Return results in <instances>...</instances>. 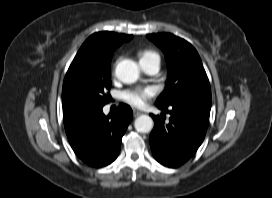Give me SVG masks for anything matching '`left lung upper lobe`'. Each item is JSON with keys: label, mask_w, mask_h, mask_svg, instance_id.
<instances>
[{"label": "left lung upper lobe", "mask_w": 272, "mask_h": 198, "mask_svg": "<svg viewBox=\"0 0 272 198\" xmlns=\"http://www.w3.org/2000/svg\"><path fill=\"white\" fill-rule=\"evenodd\" d=\"M163 51L168 67V78L156 104L192 103L211 106L208 77L196 49L184 39L170 33L149 34Z\"/></svg>", "instance_id": "1"}]
</instances>
